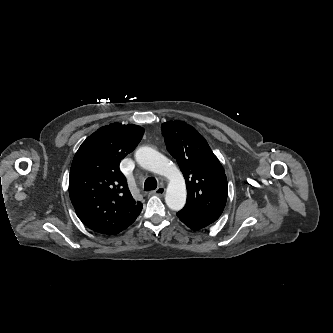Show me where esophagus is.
<instances>
[{"mask_svg": "<svg viewBox=\"0 0 333 333\" xmlns=\"http://www.w3.org/2000/svg\"><path fill=\"white\" fill-rule=\"evenodd\" d=\"M151 194L158 195V196H163L165 194V188L164 187H159L155 191H153Z\"/></svg>", "mask_w": 333, "mask_h": 333, "instance_id": "esophagus-1", "label": "esophagus"}]
</instances>
